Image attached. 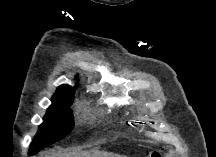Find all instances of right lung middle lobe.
Listing matches in <instances>:
<instances>
[{"mask_svg": "<svg viewBox=\"0 0 216 157\" xmlns=\"http://www.w3.org/2000/svg\"><path fill=\"white\" fill-rule=\"evenodd\" d=\"M73 94L52 98V105L43 118V123L29 148L31 155L67 136L74 127V120L70 106Z\"/></svg>", "mask_w": 216, "mask_h": 157, "instance_id": "dd1d6c3e", "label": "right lung middle lobe"}]
</instances>
